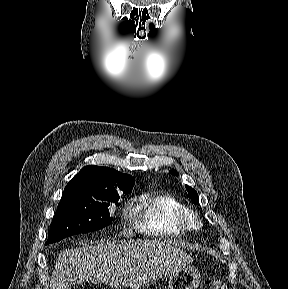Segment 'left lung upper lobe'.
I'll list each match as a JSON object with an SVG mask.
<instances>
[{
    "label": "left lung upper lobe",
    "instance_id": "1",
    "mask_svg": "<svg viewBox=\"0 0 288 289\" xmlns=\"http://www.w3.org/2000/svg\"><path fill=\"white\" fill-rule=\"evenodd\" d=\"M170 173L172 175L178 176V172L176 170H171ZM186 190L188 191V197L191 198L193 202L198 203L199 198H198L197 192L193 188L189 187L188 185H186Z\"/></svg>",
    "mask_w": 288,
    "mask_h": 289
}]
</instances>
